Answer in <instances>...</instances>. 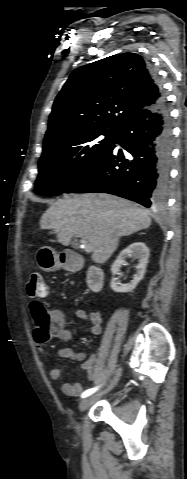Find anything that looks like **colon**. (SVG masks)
Segmentation results:
<instances>
[{
  "mask_svg": "<svg viewBox=\"0 0 187 479\" xmlns=\"http://www.w3.org/2000/svg\"><path fill=\"white\" fill-rule=\"evenodd\" d=\"M27 294L32 299H44L48 295V288L40 272H33L26 286ZM30 311L35 323L38 339H45L50 333L51 314L47 308L34 302L30 305Z\"/></svg>",
  "mask_w": 187,
  "mask_h": 479,
  "instance_id": "5ec220e1",
  "label": "colon"
}]
</instances>
